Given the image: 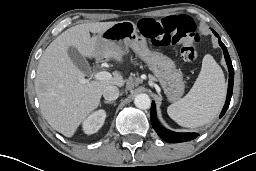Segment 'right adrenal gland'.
Wrapping results in <instances>:
<instances>
[{
    "label": "right adrenal gland",
    "mask_w": 256,
    "mask_h": 171,
    "mask_svg": "<svg viewBox=\"0 0 256 171\" xmlns=\"http://www.w3.org/2000/svg\"><path fill=\"white\" fill-rule=\"evenodd\" d=\"M104 103H105V104H113V103H115V102H111V101H106V100H105Z\"/></svg>",
    "instance_id": "1"
}]
</instances>
